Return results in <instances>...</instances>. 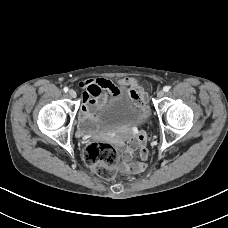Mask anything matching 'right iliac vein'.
Wrapping results in <instances>:
<instances>
[{
	"mask_svg": "<svg viewBox=\"0 0 228 228\" xmlns=\"http://www.w3.org/2000/svg\"><path fill=\"white\" fill-rule=\"evenodd\" d=\"M69 95L72 97V98H75L76 96H77V93H76V91L75 90H70L69 91Z\"/></svg>",
	"mask_w": 228,
	"mask_h": 228,
	"instance_id": "63e3f726",
	"label": "right iliac vein"
}]
</instances>
